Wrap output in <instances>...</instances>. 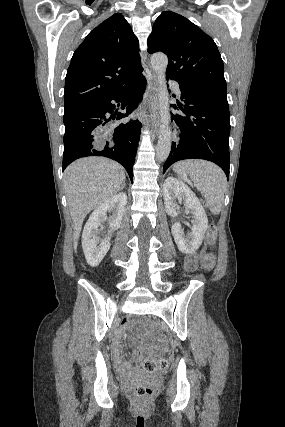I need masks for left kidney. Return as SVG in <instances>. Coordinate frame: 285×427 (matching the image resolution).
Returning <instances> with one entry per match:
<instances>
[{
	"label": "left kidney",
	"mask_w": 285,
	"mask_h": 427,
	"mask_svg": "<svg viewBox=\"0 0 285 427\" xmlns=\"http://www.w3.org/2000/svg\"><path fill=\"white\" fill-rule=\"evenodd\" d=\"M166 213L176 217L179 205L176 202L184 200V206L191 210L193 221L191 233L184 235V230L180 223H174L171 227L172 235L178 249L185 254L197 251L202 244L204 234L208 228V218L206 212L194 192L183 182L173 177H168L162 187Z\"/></svg>",
	"instance_id": "1"
}]
</instances>
